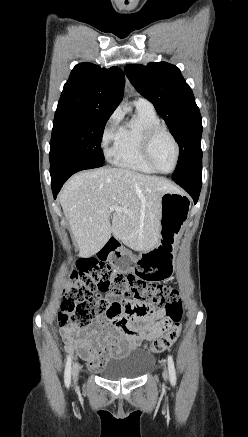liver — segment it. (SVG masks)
Wrapping results in <instances>:
<instances>
[{
  "instance_id": "1",
  "label": "liver",
  "mask_w": 248,
  "mask_h": 437,
  "mask_svg": "<svg viewBox=\"0 0 248 437\" xmlns=\"http://www.w3.org/2000/svg\"><path fill=\"white\" fill-rule=\"evenodd\" d=\"M167 179L122 168H100L72 176L59 201L80 254H96L113 236L135 251L159 242L161 196L177 192ZM124 208L113 211L111 206Z\"/></svg>"
}]
</instances>
